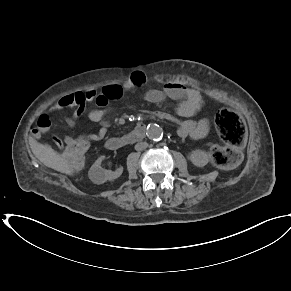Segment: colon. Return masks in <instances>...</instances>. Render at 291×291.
Listing matches in <instances>:
<instances>
[{
  "label": "colon",
  "instance_id": "obj_1",
  "mask_svg": "<svg viewBox=\"0 0 291 291\" xmlns=\"http://www.w3.org/2000/svg\"><path fill=\"white\" fill-rule=\"evenodd\" d=\"M74 104L73 95L60 99L62 107ZM217 130L227 146L214 145L211 148V158L215 165L228 168L236 164L240 157V148L246 138V127L240 116L230 109H221L215 117ZM88 142L85 136L74 137L67 145L64 153L70 165L78 168L85 157Z\"/></svg>",
  "mask_w": 291,
  "mask_h": 291
}]
</instances>
